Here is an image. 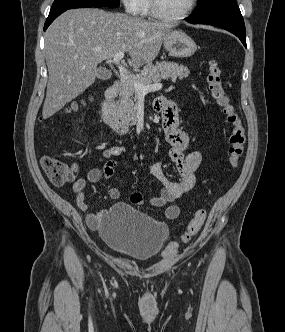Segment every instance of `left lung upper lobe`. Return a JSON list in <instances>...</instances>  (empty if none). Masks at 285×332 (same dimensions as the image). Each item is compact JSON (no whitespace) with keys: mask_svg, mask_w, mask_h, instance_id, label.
I'll use <instances>...</instances> for the list:
<instances>
[{"mask_svg":"<svg viewBox=\"0 0 285 332\" xmlns=\"http://www.w3.org/2000/svg\"><path fill=\"white\" fill-rule=\"evenodd\" d=\"M197 9L189 18L213 20L229 17H242L236 0H198Z\"/></svg>","mask_w":285,"mask_h":332,"instance_id":"left-lung-upper-lobe-1","label":"left lung upper lobe"}]
</instances>
